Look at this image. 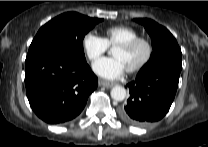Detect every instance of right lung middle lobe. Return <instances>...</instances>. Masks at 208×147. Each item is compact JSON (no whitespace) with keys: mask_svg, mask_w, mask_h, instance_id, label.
Returning <instances> with one entry per match:
<instances>
[{"mask_svg":"<svg viewBox=\"0 0 208 147\" xmlns=\"http://www.w3.org/2000/svg\"><path fill=\"white\" fill-rule=\"evenodd\" d=\"M102 19L90 18L76 12L63 13L42 26L33 39L27 57L47 52L64 51L86 60L84 36Z\"/></svg>","mask_w":208,"mask_h":147,"instance_id":"1","label":"right lung middle lobe"}]
</instances>
